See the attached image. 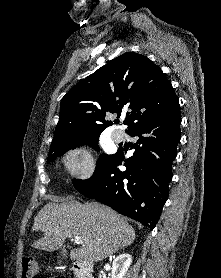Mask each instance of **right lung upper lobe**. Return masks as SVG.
<instances>
[{
	"label": "right lung upper lobe",
	"instance_id": "1",
	"mask_svg": "<svg viewBox=\"0 0 221 278\" xmlns=\"http://www.w3.org/2000/svg\"><path fill=\"white\" fill-rule=\"evenodd\" d=\"M179 100L161 68L144 55L127 52L81 80L62 98L50 149L100 133L105 118L127 111L126 132L179 111Z\"/></svg>",
	"mask_w": 221,
	"mask_h": 278
}]
</instances>
